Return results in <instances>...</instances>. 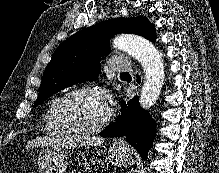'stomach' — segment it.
Wrapping results in <instances>:
<instances>
[{
  "label": "stomach",
  "mask_w": 219,
  "mask_h": 173,
  "mask_svg": "<svg viewBox=\"0 0 219 173\" xmlns=\"http://www.w3.org/2000/svg\"><path fill=\"white\" fill-rule=\"evenodd\" d=\"M110 162L120 168L134 164L130 148L121 143H114L107 149ZM84 156V154H81ZM40 173H65L68 165V153L58 145L46 146L37 159Z\"/></svg>",
  "instance_id": "obj_1"
}]
</instances>
